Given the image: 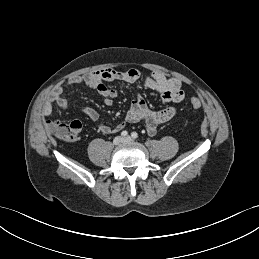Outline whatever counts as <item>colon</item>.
I'll return each mask as SVG.
<instances>
[{
    "mask_svg": "<svg viewBox=\"0 0 259 259\" xmlns=\"http://www.w3.org/2000/svg\"><path fill=\"white\" fill-rule=\"evenodd\" d=\"M190 106L193 109H199L201 107V101L197 98H193L190 102ZM81 128L82 125L79 121L50 122L46 126V129L50 134L55 135L64 141L76 140Z\"/></svg>",
    "mask_w": 259,
    "mask_h": 259,
    "instance_id": "5ec220e1",
    "label": "colon"
}]
</instances>
